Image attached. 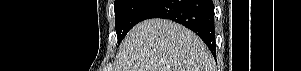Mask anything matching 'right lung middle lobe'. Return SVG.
Wrapping results in <instances>:
<instances>
[{
	"label": "right lung middle lobe",
	"mask_w": 301,
	"mask_h": 71,
	"mask_svg": "<svg viewBox=\"0 0 301 71\" xmlns=\"http://www.w3.org/2000/svg\"><path fill=\"white\" fill-rule=\"evenodd\" d=\"M155 0H115V25L118 43L138 22L142 14Z\"/></svg>",
	"instance_id": "right-lung-middle-lobe-1"
}]
</instances>
